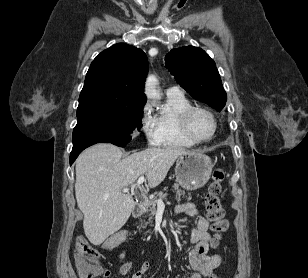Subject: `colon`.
Listing matches in <instances>:
<instances>
[{"label": "colon", "mask_w": 308, "mask_h": 278, "mask_svg": "<svg viewBox=\"0 0 308 278\" xmlns=\"http://www.w3.org/2000/svg\"><path fill=\"white\" fill-rule=\"evenodd\" d=\"M224 179L225 173L223 170L217 169L213 172L212 182L204 200L208 217L213 222L212 228L216 233L212 242L214 247L219 245L222 235L228 229V222L224 218V210L220 201ZM127 235L126 230H120L118 233L110 235L109 240L103 241V248L108 250L110 247H116L118 243L124 241V237ZM110 250L112 251L113 249L111 248ZM74 257L80 278H97L101 275L103 266L99 261V252L83 236L76 238ZM211 277L217 278L216 276Z\"/></svg>", "instance_id": "1"}]
</instances>
